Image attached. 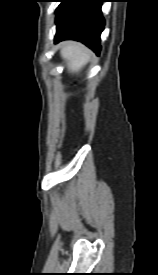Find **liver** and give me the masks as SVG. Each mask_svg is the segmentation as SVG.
<instances>
[{
  "label": "liver",
  "mask_w": 158,
  "mask_h": 275,
  "mask_svg": "<svg viewBox=\"0 0 158 275\" xmlns=\"http://www.w3.org/2000/svg\"><path fill=\"white\" fill-rule=\"evenodd\" d=\"M61 57L67 62L71 73L80 72L90 60V51L79 43L68 42L61 47Z\"/></svg>",
  "instance_id": "6515ba94"
}]
</instances>
